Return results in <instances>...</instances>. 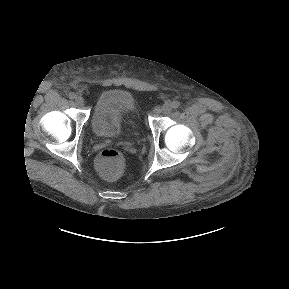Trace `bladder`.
Listing matches in <instances>:
<instances>
[{"mask_svg":"<svg viewBox=\"0 0 289 289\" xmlns=\"http://www.w3.org/2000/svg\"><path fill=\"white\" fill-rule=\"evenodd\" d=\"M133 97L122 91H106L98 99L92 116L94 133L114 138L121 133L123 123L135 114Z\"/></svg>","mask_w":289,"mask_h":289,"instance_id":"31cf9c89","label":"bladder"}]
</instances>
